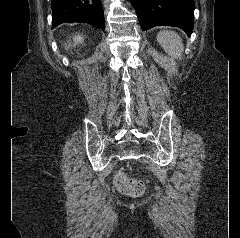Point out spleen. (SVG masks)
I'll list each match as a JSON object with an SVG mask.
<instances>
[{
	"label": "spleen",
	"mask_w": 240,
	"mask_h": 238,
	"mask_svg": "<svg viewBox=\"0 0 240 238\" xmlns=\"http://www.w3.org/2000/svg\"><path fill=\"white\" fill-rule=\"evenodd\" d=\"M157 40L165 52L174 58H181L183 54V43L180 36L174 31H160Z\"/></svg>",
	"instance_id": "obj_1"
}]
</instances>
